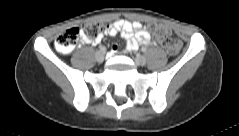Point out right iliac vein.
Listing matches in <instances>:
<instances>
[{"label": "right iliac vein", "instance_id": "right-iliac-vein-1", "mask_svg": "<svg viewBox=\"0 0 239 136\" xmlns=\"http://www.w3.org/2000/svg\"><path fill=\"white\" fill-rule=\"evenodd\" d=\"M104 58H105V52L98 51L96 53V60H97V62L102 63L104 61Z\"/></svg>", "mask_w": 239, "mask_h": 136}]
</instances>
